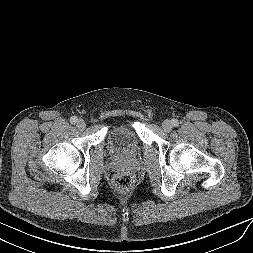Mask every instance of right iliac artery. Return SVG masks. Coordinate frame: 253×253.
Here are the masks:
<instances>
[{"mask_svg":"<svg viewBox=\"0 0 253 253\" xmlns=\"http://www.w3.org/2000/svg\"><path fill=\"white\" fill-rule=\"evenodd\" d=\"M77 117L76 116H72L71 118H70V122L72 123V124H75L76 122H77Z\"/></svg>","mask_w":253,"mask_h":253,"instance_id":"82829eb1","label":"right iliac artery"}]
</instances>
